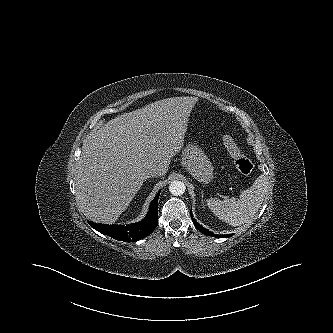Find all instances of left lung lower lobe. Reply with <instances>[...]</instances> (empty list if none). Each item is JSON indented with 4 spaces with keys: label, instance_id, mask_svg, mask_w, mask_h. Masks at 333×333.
I'll list each match as a JSON object with an SVG mask.
<instances>
[{
    "label": "left lung lower lobe",
    "instance_id": "left-lung-lower-lobe-1",
    "mask_svg": "<svg viewBox=\"0 0 333 333\" xmlns=\"http://www.w3.org/2000/svg\"><path fill=\"white\" fill-rule=\"evenodd\" d=\"M191 218L193 220V223L195 225V227L203 234L208 235V236H213V237H221V238H225V237H231L233 236V234H227V235H218V234H213L212 232L208 231L207 229H205L203 226H201L200 224H198V222L196 220L193 219V215H192V211H191Z\"/></svg>",
    "mask_w": 333,
    "mask_h": 333
}]
</instances>
